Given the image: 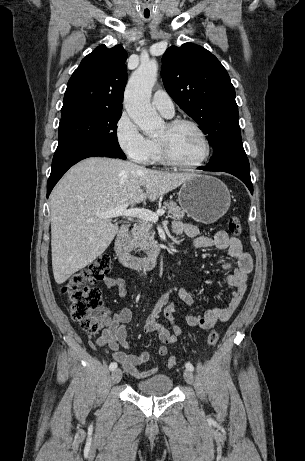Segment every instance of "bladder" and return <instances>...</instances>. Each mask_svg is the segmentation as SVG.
I'll list each match as a JSON object with an SVG mask.
<instances>
[{
  "instance_id": "31cf9c89",
  "label": "bladder",
  "mask_w": 305,
  "mask_h": 461,
  "mask_svg": "<svg viewBox=\"0 0 305 461\" xmlns=\"http://www.w3.org/2000/svg\"><path fill=\"white\" fill-rule=\"evenodd\" d=\"M172 378L166 374H156L147 379L138 381L136 390L144 395H163L171 392Z\"/></svg>"
}]
</instances>
